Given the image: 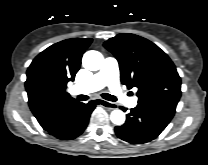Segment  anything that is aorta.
<instances>
[{
    "label": "aorta",
    "mask_w": 208,
    "mask_h": 165,
    "mask_svg": "<svg viewBox=\"0 0 208 165\" xmlns=\"http://www.w3.org/2000/svg\"><path fill=\"white\" fill-rule=\"evenodd\" d=\"M103 55L95 50L87 51L82 58L83 66L91 71H97L102 67ZM110 119L115 125H122L125 122V114L122 110L115 109L111 112Z\"/></svg>",
    "instance_id": "aorta-1"
}]
</instances>
